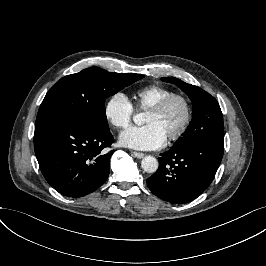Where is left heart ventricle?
<instances>
[{
	"instance_id": "left-heart-ventricle-1",
	"label": "left heart ventricle",
	"mask_w": 266,
	"mask_h": 266,
	"mask_svg": "<svg viewBox=\"0 0 266 266\" xmlns=\"http://www.w3.org/2000/svg\"><path fill=\"white\" fill-rule=\"evenodd\" d=\"M186 115L184 104L177 100L163 113L148 110L145 118L146 123L157 124L166 136L175 133L183 123Z\"/></svg>"
}]
</instances>
